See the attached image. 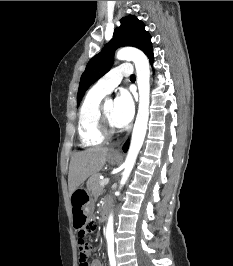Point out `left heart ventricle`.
I'll list each match as a JSON object with an SVG mask.
<instances>
[{
    "instance_id": "obj_1",
    "label": "left heart ventricle",
    "mask_w": 233,
    "mask_h": 266,
    "mask_svg": "<svg viewBox=\"0 0 233 266\" xmlns=\"http://www.w3.org/2000/svg\"><path fill=\"white\" fill-rule=\"evenodd\" d=\"M105 111H106V115H107L108 120L110 121V123L112 125H114V121H113L114 101L113 100H108L106 102V104H105Z\"/></svg>"
}]
</instances>
